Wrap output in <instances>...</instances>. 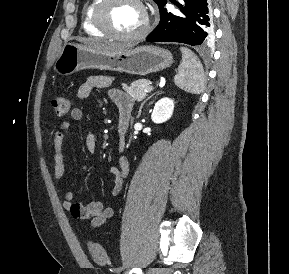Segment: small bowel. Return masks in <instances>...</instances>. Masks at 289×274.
Wrapping results in <instances>:
<instances>
[{"instance_id":"c3829d8e","label":"small bowel","mask_w":289,"mask_h":274,"mask_svg":"<svg viewBox=\"0 0 289 274\" xmlns=\"http://www.w3.org/2000/svg\"><path fill=\"white\" fill-rule=\"evenodd\" d=\"M112 81L105 76H91L87 78L78 88L77 97L80 100H85L95 89H109V96L116 105L119 114L126 112L131 115L133 108L132 99L124 92L111 88ZM70 117L74 121H81L84 117L81 108H73L70 112ZM70 123L68 121L62 123L57 129L53 139L54 154H53V168L56 180H60L65 172V157L63 154V144L66 138ZM85 146L90 154L96 152L97 139L94 133L87 134L85 139ZM119 147L124 148V139L119 138ZM111 174L114 176V186L112 188V195L118 196L124 187L125 179L129 173V163L125 157L119 160V166H112L110 168ZM64 199L63 206L75 218L81 221H90V228L96 229L103 225L108 219L114 215V208L106 206L101 201H92L86 204L75 202L73 200V193L70 190L62 192Z\"/></svg>"}]
</instances>
